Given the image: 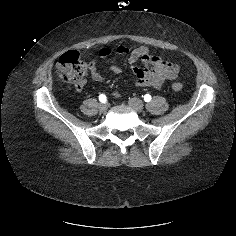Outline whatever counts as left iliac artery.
<instances>
[{
	"mask_svg": "<svg viewBox=\"0 0 236 236\" xmlns=\"http://www.w3.org/2000/svg\"><path fill=\"white\" fill-rule=\"evenodd\" d=\"M144 101H145V102H150V101H151V95L146 94V95L144 96Z\"/></svg>",
	"mask_w": 236,
	"mask_h": 236,
	"instance_id": "left-iliac-artery-1",
	"label": "left iliac artery"
}]
</instances>
